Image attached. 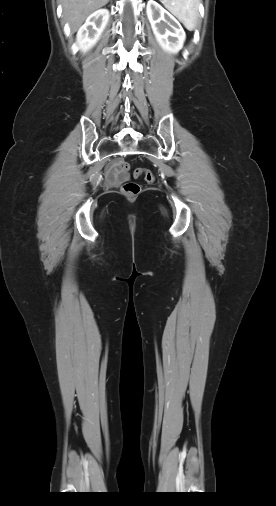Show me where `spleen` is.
<instances>
[{"instance_id": "obj_1", "label": "spleen", "mask_w": 276, "mask_h": 506, "mask_svg": "<svg viewBox=\"0 0 276 506\" xmlns=\"http://www.w3.org/2000/svg\"><path fill=\"white\" fill-rule=\"evenodd\" d=\"M162 4L185 26L192 31L199 17V0H160Z\"/></svg>"}]
</instances>
